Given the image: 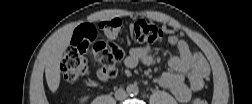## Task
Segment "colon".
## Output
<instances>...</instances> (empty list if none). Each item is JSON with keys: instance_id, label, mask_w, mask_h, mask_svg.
<instances>
[{"instance_id": "obj_1", "label": "colon", "mask_w": 252, "mask_h": 104, "mask_svg": "<svg viewBox=\"0 0 252 104\" xmlns=\"http://www.w3.org/2000/svg\"><path fill=\"white\" fill-rule=\"evenodd\" d=\"M134 39L138 43L153 44L162 39L166 30L144 19H136L130 24ZM123 33V23L114 18L98 25L81 24L73 33L71 45L64 52L60 70L70 82L78 80L88 73L85 52L89 45L97 41L93 51L110 78L117 75V64L123 56L122 48L117 43ZM201 98H194L193 104H202Z\"/></svg>"}]
</instances>
